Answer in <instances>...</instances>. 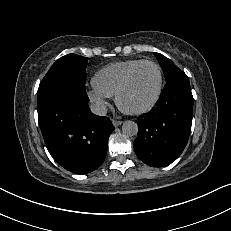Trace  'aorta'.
Listing matches in <instances>:
<instances>
[{
  "instance_id": "obj_1",
  "label": "aorta",
  "mask_w": 231,
  "mask_h": 231,
  "mask_svg": "<svg viewBox=\"0 0 231 231\" xmlns=\"http://www.w3.org/2000/svg\"><path fill=\"white\" fill-rule=\"evenodd\" d=\"M122 132L127 136H135L138 133V125L136 122L127 120L122 125Z\"/></svg>"
}]
</instances>
